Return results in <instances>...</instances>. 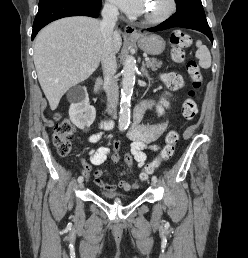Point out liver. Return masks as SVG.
I'll return each mask as SVG.
<instances>
[{
	"label": "liver",
	"mask_w": 248,
	"mask_h": 258,
	"mask_svg": "<svg viewBox=\"0 0 248 258\" xmlns=\"http://www.w3.org/2000/svg\"><path fill=\"white\" fill-rule=\"evenodd\" d=\"M115 53L122 39L114 31ZM103 48L100 22L77 16L59 19L43 28L35 38L34 64L41 88L55 110L61 97L89 78L98 68Z\"/></svg>",
	"instance_id": "6515ba94"
}]
</instances>
